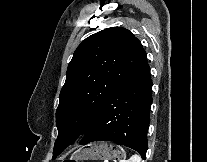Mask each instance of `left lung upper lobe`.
<instances>
[{
    "label": "left lung upper lobe",
    "mask_w": 207,
    "mask_h": 162,
    "mask_svg": "<svg viewBox=\"0 0 207 162\" xmlns=\"http://www.w3.org/2000/svg\"><path fill=\"white\" fill-rule=\"evenodd\" d=\"M146 58L127 29L111 27L86 38L74 52L56 111L53 159L84 133L104 102Z\"/></svg>",
    "instance_id": "1"
}]
</instances>
